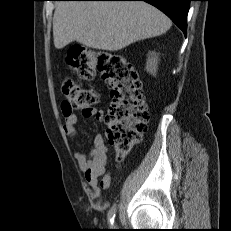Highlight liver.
Segmentation results:
<instances>
[{"mask_svg": "<svg viewBox=\"0 0 231 231\" xmlns=\"http://www.w3.org/2000/svg\"><path fill=\"white\" fill-rule=\"evenodd\" d=\"M171 20L140 1H60L53 16L54 45L78 43L92 49L118 51L130 44L160 36Z\"/></svg>", "mask_w": 231, "mask_h": 231, "instance_id": "1", "label": "liver"}]
</instances>
